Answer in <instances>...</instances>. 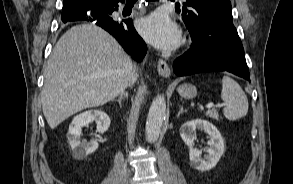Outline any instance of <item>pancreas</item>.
Listing matches in <instances>:
<instances>
[{"mask_svg":"<svg viewBox=\"0 0 293 184\" xmlns=\"http://www.w3.org/2000/svg\"><path fill=\"white\" fill-rule=\"evenodd\" d=\"M206 115L214 120H219V114L215 109L207 111Z\"/></svg>","mask_w":293,"mask_h":184,"instance_id":"pancreas-1","label":"pancreas"}]
</instances>
